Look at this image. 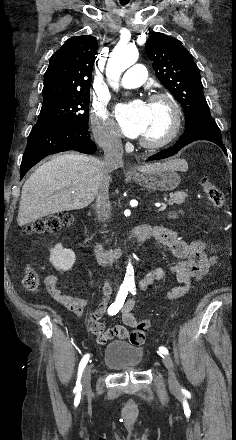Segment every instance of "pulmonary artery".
Instances as JSON below:
<instances>
[{"mask_svg": "<svg viewBox=\"0 0 236 440\" xmlns=\"http://www.w3.org/2000/svg\"><path fill=\"white\" fill-rule=\"evenodd\" d=\"M146 76L147 71L143 65H133L123 75L121 86L127 90L137 88L145 82Z\"/></svg>", "mask_w": 236, "mask_h": 440, "instance_id": "1", "label": "pulmonary artery"}]
</instances>
